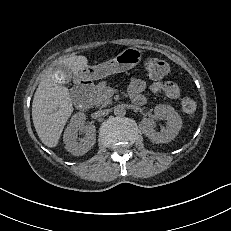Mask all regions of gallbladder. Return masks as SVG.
Returning a JSON list of instances; mask_svg holds the SVG:
<instances>
[{
    "mask_svg": "<svg viewBox=\"0 0 231 231\" xmlns=\"http://www.w3.org/2000/svg\"><path fill=\"white\" fill-rule=\"evenodd\" d=\"M71 79V72L65 67H58L53 72V80L58 84L69 82Z\"/></svg>",
    "mask_w": 231,
    "mask_h": 231,
    "instance_id": "1",
    "label": "gallbladder"
}]
</instances>
